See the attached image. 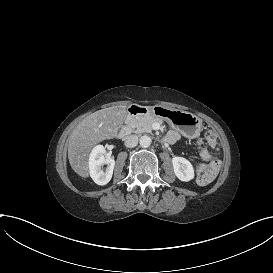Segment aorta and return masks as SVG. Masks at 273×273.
I'll return each mask as SVG.
<instances>
[{"label": "aorta", "mask_w": 273, "mask_h": 273, "mask_svg": "<svg viewBox=\"0 0 273 273\" xmlns=\"http://www.w3.org/2000/svg\"><path fill=\"white\" fill-rule=\"evenodd\" d=\"M151 142H152V139H151V137L148 136V135L142 136V137L140 138V141H139L140 146H141V147H145V148H146V147H149L150 144H151Z\"/></svg>", "instance_id": "762f6f07"}]
</instances>
